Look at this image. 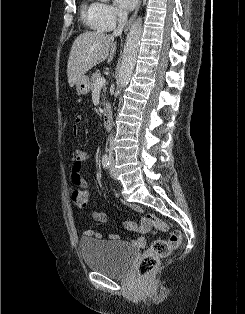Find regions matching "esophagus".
<instances>
[{"instance_id": "1", "label": "esophagus", "mask_w": 245, "mask_h": 314, "mask_svg": "<svg viewBox=\"0 0 245 314\" xmlns=\"http://www.w3.org/2000/svg\"><path fill=\"white\" fill-rule=\"evenodd\" d=\"M141 5V0H139L138 5L134 11V13L132 14V16L130 17V19L128 20V22L126 23L125 27H124V33H127V31L129 30L131 24L133 23L134 19L136 18L139 8Z\"/></svg>"}]
</instances>
